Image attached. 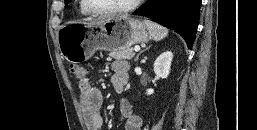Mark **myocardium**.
<instances>
[{"instance_id": "f54148a6", "label": "myocardium", "mask_w": 257, "mask_h": 130, "mask_svg": "<svg viewBox=\"0 0 257 130\" xmlns=\"http://www.w3.org/2000/svg\"><path fill=\"white\" fill-rule=\"evenodd\" d=\"M143 0H132L129 4L122 6V7H117V8H112V9H106V10H97L94 9L88 2V0H82L83 7L85 10L92 15L95 16H105V15H114V14H122V13H127L130 11H133L136 9L139 4Z\"/></svg>"}]
</instances>
